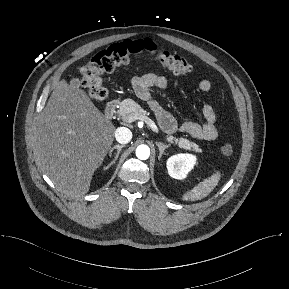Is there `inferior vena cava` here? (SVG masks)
Segmentation results:
<instances>
[{
    "instance_id": "obj_1",
    "label": "inferior vena cava",
    "mask_w": 289,
    "mask_h": 289,
    "mask_svg": "<svg viewBox=\"0 0 289 289\" xmlns=\"http://www.w3.org/2000/svg\"><path fill=\"white\" fill-rule=\"evenodd\" d=\"M115 138L120 144H127L132 139V132L126 127H119L115 131Z\"/></svg>"
}]
</instances>
